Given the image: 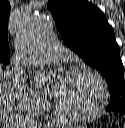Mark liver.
I'll return each instance as SVG.
<instances>
[{
	"mask_svg": "<svg viewBox=\"0 0 125 128\" xmlns=\"http://www.w3.org/2000/svg\"><path fill=\"white\" fill-rule=\"evenodd\" d=\"M24 125V118L14 109L11 83L0 65V128H19Z\"/></svg>",
	"mask_w": 125,
	"mask_h": 128,
	"instance_id": "obj_1",
	"label": "liver"
}]
</instances>
